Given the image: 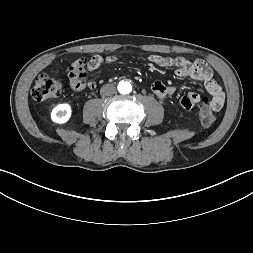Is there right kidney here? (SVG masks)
<instances>
[{
    "mask_svg": "<svg viewBox=\"0 0 253 253\" xmlns=\"http://www.w3.org/2000/svg\"><path fill=\"white\" fill-rule=\"evenodd\" d=\"M71 112L69 104H58L51 112L52 121L58 124L66 123L71 116Z\"/></svg>",
    "mask_w": 253,
    "mask_h": 253,
    "instance_id": "1",
    "label": "right kidney"
}]
</instances>
